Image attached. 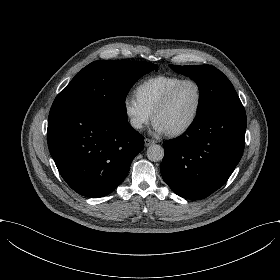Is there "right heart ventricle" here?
<instances>
[{"mask_svg": "<svg viewBox=\"0 0 280 280\" xmlns=\"http://www.w3.org/2000/svg\"><path fill=\"white\" fill-rule=\"evenodd\" d=\"M184 77L179 75H157L145 79L135 88V96L151 112Z\"/></svg>", "mask_w": 280, "mask_h": 280, "instance_id": "right-heart-ventricle-1", "label": "right heart ventricle"}]
</instances>
